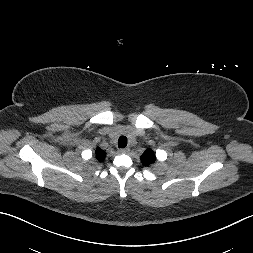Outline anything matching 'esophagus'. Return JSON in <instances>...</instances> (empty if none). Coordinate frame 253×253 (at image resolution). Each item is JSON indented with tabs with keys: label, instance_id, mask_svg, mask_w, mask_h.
I'll return each mask as SVG.
<instances>
[{
	"label": "esophagus",
	"instance_id": "esophagus-1",
	"mask_svg": "<svg viewBox=\"0 0 253 253\" xmlns=\"http://www.w3.org/2000/svg\"><path fill=\"white\" fill-rule=\"evenodd\" d=\"M129 151H130L129 148H121V149H119L120 153H128Z\"/></svg>",
	"mask_w": 253,
	"mask_h": 253
}]
</instances>
